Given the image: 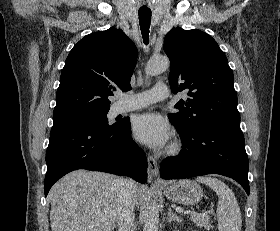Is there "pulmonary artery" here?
<instances>
[{"label": "pulmonary artery", "instance_id": "pulmonary-artery-1", "mask_svg": "<svg viewBox=\"0 0 280 231\" xmlns=\"http://www.w3.org/2000/svg\"><path fill=\"white\" fill-rule=\"evenodd\" d=\"M169 96L168 87L163 84H157L152 89L129 95V101L120 103V113L129 112L146 107L150 104L157 103L167 99Z\"/></svg>", "mask_w": 280, "mask_h": 231}]
</instances>
